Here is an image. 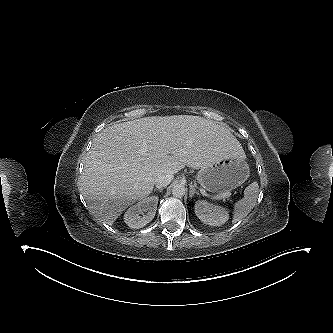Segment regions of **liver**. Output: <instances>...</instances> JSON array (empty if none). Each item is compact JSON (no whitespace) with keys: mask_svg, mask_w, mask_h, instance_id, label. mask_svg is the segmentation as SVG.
<instances>
[{"mask_svg":"<svg viewBox=\"0 0 333 333\" xmlns=\"http://www.w3.org/2000/svg\"><path fill=\"white\" fill-rule=\"evenodd\" d=\"M238 157L245 158L238 140L203 117L135 119L109 126L94 139L81 175V193L91 213L112 225L129 205L150 195L157 175Z\"/></svg>","mask_w":333,"mask_h":333,"instance_id":"6515ba94","label":"liver"}]
</instances>
